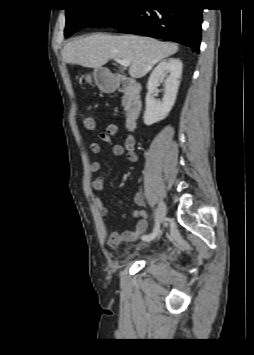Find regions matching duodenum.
Listing matches in <instances>:
<instances>
[{
    "instance_id": "obj_1",
    "label": "duodenum",
    "mask_w": 254,
    "mask_h": 355,
    "mask_svg": "<svg viewBox=\"0 0 254 355\" xmlns=\"http://www.w3.org/2000/svg\"><path fill=\"white\" fill-rule=\"evenodd\" d=\"M104 87L110 91H122L127 94L129 108L125 118V126L129 131H133L142 110L141 85L120 75H115Z\"/></svg>"
}]
</instances>
